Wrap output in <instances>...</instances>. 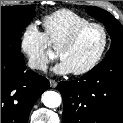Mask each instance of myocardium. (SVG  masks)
Here are the masks:
<instances>
[{
  "mask_svg": "<svg viewBox=\"0 0 123 123\" xmlns=\"http://www.w3.org/2000/svg\"><path fill=\"white\" fill-rule=\"evenodd\" d=\"M98 28L101 30L102 34H103V43L102 46L100 48V51L98 52L97 56L93 59V61L87 65L86 67L79 69V70H75L72 71V73L74 75H84L89 73L90 71H92L102 60V58L105 55V52L107 50L108 47V43H109V34L108 31L106 29V27L101 24V23H97V22H90L87 23L85 25L80 26L79 28H77L62 44L61 46L58 48L57 53H58V57L61 58V54L63 51L71 48L76 41L79 39V37L88 29L90 28Z\"/></svg>",
  "mask_w": 123,
  "mask_h": 123,
  "instance_id": "myocardium-1",
  "label": "myocardium"
}]
</instances>
